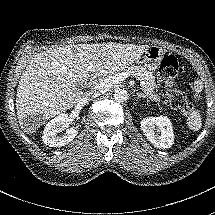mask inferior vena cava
Returning <instances> with one entry per match:
<instances>
[{
    "instance_id": "inferior-vena-cava-1",
    "label": "inferior vena cava",
    "mask_w": 215,
    "mask_h": 215,
    "mask_svg": "<svg viewBox=\"0 0 215 215\" xmlns=\"http://www.w3.org/2000/svg\"><path fill=\"white\" fill-rule=\"evenodd\" d=\"M105 90L104 89H92L90 91L84 92L83 96L81 98V102L83 104H86L88 101H90L92 98L98 97L100 96L102 93H104Z\"/></svg>"
}]
</instances>
